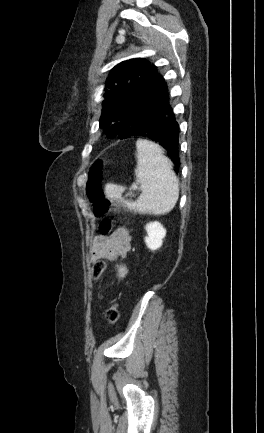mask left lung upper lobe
<instances>
[{"instance_id":"1","label":"left lung upper lobe","mask_w":264,"mask_h":433,"mask_svg":"<svg viewBox=\"0 0 264 433\" xmlns=\"http://www.w3.org/2000/svg\"><path fill=\"white\" fill-rule=\"evenodd\" d=\"M158 77L156 67L142 58L123 61L111 70L106 81L100 118V127L105 128L104 132L108 137H129L127 130L120 125V120L141 93Z\"/></svg>"}]
</instances>
